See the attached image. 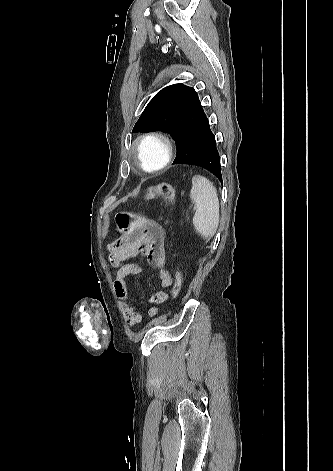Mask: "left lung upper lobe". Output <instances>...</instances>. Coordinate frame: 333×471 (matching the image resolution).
<instances>
[{
    "instance_id": "left-lung-upper-lobe-1",
    "label": "left lung upper lobe",
    "mask_w": 333,
    "mask_h": 471,
    "mask_svg": "<svg viewBox=\"0 0 333 471\" xmlns=\"http://www.w3.org/2000/svg\"><path fill=\"white\" fill-rule=\"evenodd\" d=\"M204 117V110L194 88L174 84L165 87L153 97L132 132H168L176 140L179 154Z\"/></svg>"
}]
</instances>
